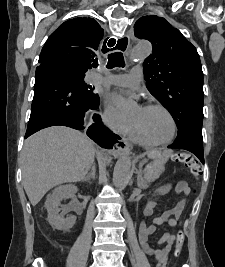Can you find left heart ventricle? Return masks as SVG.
<instances>
[{
  "mask_svg": "<svg viewBox=\"0 0 225 267\" xmlns=\"http://www.w3.org/2000/svg\"><path fill=\"white\" fill-rule=\"evenodd\" d=\"M130 119L152 141H164L172 135L173 126L170 118L158 109L147 110L137 107Z\"/></svg>",
  "mask_w": 225,
  "mask_h": 267,
  "instance_id": "b2bd125f",
  "label": "left heart ventricle"
}]
</instances>
